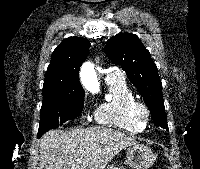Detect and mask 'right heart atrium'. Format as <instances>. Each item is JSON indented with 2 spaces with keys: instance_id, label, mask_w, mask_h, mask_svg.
<instances>
[{
  "instance_id": "1",
  "label": "right heart atrium",
  "mask_w": 200,
  "mask_h": 169,
  "mask_svg": "<svg viewBox=\"0 0 200 169\" xmlns=\"http://www.w3.org/2000/svg\"><path fill=\"white\" fill-rule=\"evenodd\" d=\"M89 113H90V111H89L87 105H84L82 110H81V117L83 119H85V118H87L89 116Z\"/></svg>"
}]
</instances>
